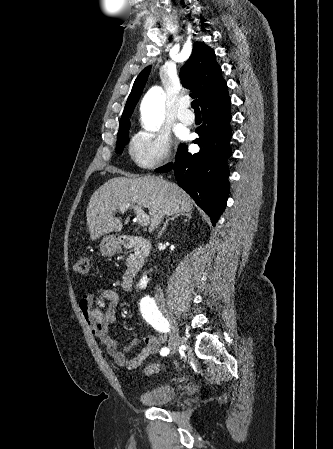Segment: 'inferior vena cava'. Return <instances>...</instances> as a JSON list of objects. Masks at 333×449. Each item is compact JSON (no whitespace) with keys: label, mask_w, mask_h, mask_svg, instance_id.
I'll return each instance as SVG.
<instances>
[{"label":"inferior vena cava","mask_w":333,"mask_h":449,"mask_svg":"<svg viewBox=\"0 0 333 449\" xmlns=\"http://www.w3.org/2000/svg\"><path fill=\"white\" fill-rule=\"evenodd\" d=\"M159 223H160V221L158 222V224H159ZM156 299H157V301L160 302L161 304L164 303L165 299H164V296H163V293H162L161 289H157V292H156Z\"/></svg>","instance_id":"obj_1"}]
</instances>
